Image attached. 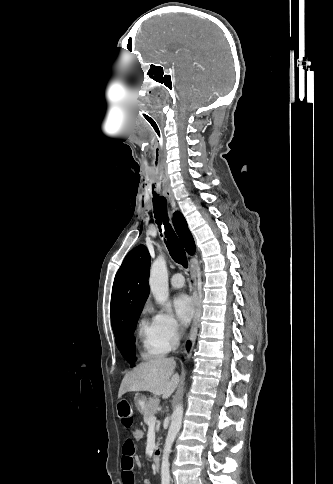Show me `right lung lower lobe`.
Wrapping results in <instances>:
<instances>
[{"mask_svg": "<svg viewBox=\"0 0 333 484\" xmlns=\"http://www.w3.org/2000/svg\"><path fill=\"white\" fill-rule=\"evenodd\" d=\"M189 347H190V342L187 343V348H189Z\"/></svg>", "mask_w": 333, "mask_h": 484, "instance_id": "obj_1", "label": "right lung lower lobe"}]
</instances>
